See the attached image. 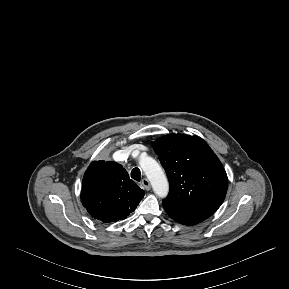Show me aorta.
I'll list each match as a JSON object with an SVG mask.
<instances>
[{"instance_id":"1","label":"aorta","mask_w":289,"mask_h":289,"mask_svg":"<svg viewBox=\"0 0 289 289\" xmlns=\"http://www.w3.org/2000/svg\"><path fill=\"white\" fill-rule=\"evenodd\" d=\"M139 164L149 179L155 194L161 198L166 197L169 192V184L158 162L152 157L143 154L140 157Z\"/></svg>"}]
</instances>
